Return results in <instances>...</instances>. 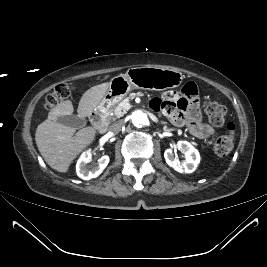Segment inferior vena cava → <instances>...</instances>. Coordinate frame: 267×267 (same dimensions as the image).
<instances>
[{
    "label": "inferior vena cava",
    "mask_w": 267,
    "mask_h": 267,
    "mask_svg": "<svg viewBox=\"0 0 267 267\" xmlns=\"http://www.w3.org/2000/svg\"><path fill=\"white\" fill-rule=\"evenodd\" d=\"M123 122L122 121H116L112 123L109 127V130L115 134L119 133L122 129Z\"/></svg>",
    "instance_id": "inferior-vena-cava-1"
}]
</instances>
